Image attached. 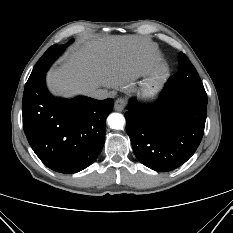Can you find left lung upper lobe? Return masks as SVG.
I'll use <instances>...</instances> for the list:
<instances>
[{"instance_id": "5c2ea615", "label": "left lung upper lobe", "mask_w": 233, "mask_h": 233, "mask_svg": "<svg viewBox=\"0 0 233 233\" xmlns=\"http://www.w3.org/2000/svg\"><path fill=\"white\" fill-rule=\"evenodd\" d=\"M178 69V72L168 82L187 89L205 91L196 69L183 53L179 54Z\"/></svg>"}]
</instances>
